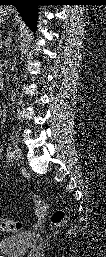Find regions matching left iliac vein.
Listing matches in <instances>:
<instances>
[{"instance_id":"obj_1","label":"left iliac vein","mask_w":106,"mask_h":257,"mask_svg":"<svg viewBox=\"0 0 106 257\" xmlns=\"http://www.w3.org/2000/svg\"><path fill=\"white\" fill-rule=\"evenodd\" d=\"M21 157V151L18 147H16L13 151V158L14 160H18Z\"/></svg>"}]
</instances>
